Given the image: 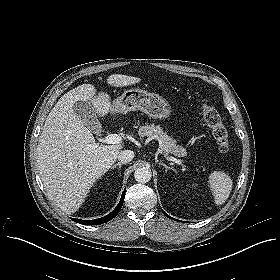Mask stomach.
<instances>
[{"label": "stomach", "mask_w": 280, "mask_h": 280, "mask_svg": "<svg viewBox=\"0 0 280 280\" xmlns=\"http://www.w3.org/2000/svg\"><path fill=\"white\" fill-rule=\"evenodd\" d=\"M112 105L123 113L140 110L155 119H166L171 114V106L166 99L137 88L125 91Z\"/></svg>", "instance_id": "1"}]
</instances>
